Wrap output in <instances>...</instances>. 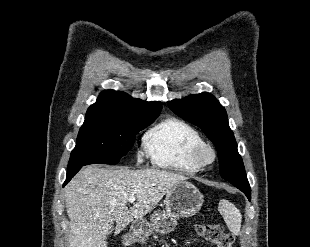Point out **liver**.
<instances>
[{"instance_id": "1", "label": "liver", "mask_w": 310, "mask_h": 247, "mask_svg": "<svg viewBox=\"0 0 310 247\" xmlns=\"http://www.w3.org/2000/svg\"><path fill=\"white\" fill-rule=\"evenodd\" d=\"M187 177L160 169L133 170L88 166L64 191L70 219L69 247H107V235L116 222V233L134 218L148 214L176 184ZM137 199L130 209L128 199Z\"/></svg>"}]
</instances>
